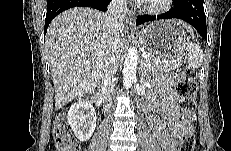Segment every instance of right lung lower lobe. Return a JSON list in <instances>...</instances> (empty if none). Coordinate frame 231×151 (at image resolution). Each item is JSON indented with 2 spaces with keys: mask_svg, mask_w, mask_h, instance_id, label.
<instances>
[{
  "mask_svg": "<svg viewBox=\"0 0 231 151\" xmlns=\"http://www.w3.org/2000/svg\"><path fill=\"white\" fill-rule=\"evenodd\" d=\"M110 1L111 0H48L44 33L47 32V28L52 19L66 9L84 6L107 11V6Z\"/></svg>",
  "mask_w": 231,
  "mask_h": 151,
  "instance_id": "obj_1",
  "label": "right lung lower lobe"
}]
</instances>
